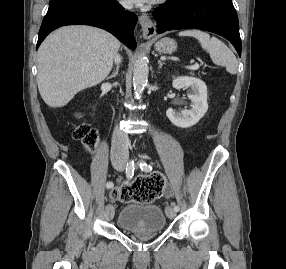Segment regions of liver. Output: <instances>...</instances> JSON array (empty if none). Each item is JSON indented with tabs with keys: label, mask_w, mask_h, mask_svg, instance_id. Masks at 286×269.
<instances>
[{
	"label": "liver",
	"mask_w": 286,
	"mask_h": 269,
	"mask_svg": "<svg viewBox=\"0 0 286 269\" xmlns=\"http://www.w3.org/2000/svg\"><path fill=\"white\" fill-rule=\"evenodd\" d=\"M120 42L95 27L75 25L51 33L37 53V84L50 107H63L110 73Z\"/></svg>",
	"instance_id": "1"
}]
</instances>
